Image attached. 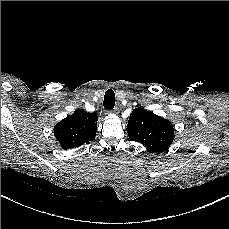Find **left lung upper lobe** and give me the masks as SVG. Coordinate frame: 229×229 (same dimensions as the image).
<instances>
[{"label":"left lung upper lobe","mask_w":229,"mask_h":229,"mask_svg":"<svg viewBox=\"0 0 229 229\" xmlns=\"http://www.w3.org/2000/svg\"><path fill=\"white\" fill-rule=\"evenodd\" d=\"M127 133L130 140L141 143L152 152L167 150L174 139L172 123L142 107L130 114Z\"/></svg>","instance_id":"1"}]
</instances>
